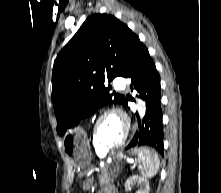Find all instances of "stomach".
<instances>
[{
	"mask_svg": "<svg viewBox=\"0 0 221 193\" xmlns=\"http://www.w3.org/2000/svg\"><path fill=\"white\" fill-rule=\"evenodd\" d=\"M60 138L64 141V155H68V159H75V167H91L88 138L83 129L72 125L68 133H60ZM86 179H99V174H86Z\"/></svg>",
	"mask_w": 221,
	"mask_h": 193,
	"instance_id": "obj_1",
	"label": "stomach"
}]
</instances>
